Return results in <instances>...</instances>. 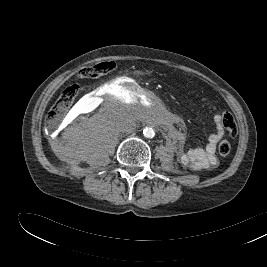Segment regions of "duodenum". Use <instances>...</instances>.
I'll return each mask as SVG.
<instances>
[{"label": "duodenum", "instance_id": "1", "mask_svg": "<svg viewBox=\"0 0 267 267\" xmlns=\"http://www.w3.org/2000/svg\"><path fill=\"white\" fill-rule=\"evenodd\" d=\"M119 89L133 95L147 97L149 100H154L156 98V92L151 88H144L143 86H136L131 83L121 82L119 84Z\"/></svg>", "mask_w": 267, "mask_h": 267}]
</instances>
